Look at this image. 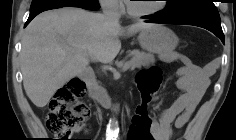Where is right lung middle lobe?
Here are the masks:
<instances>
[{"mask_svg":"<svg viewBox=\"0 0 236 140\" xmlns=\"http://www.w3.org/2000/svg\"><path fill=\"white\" fill-rule=\"evenodd\" d=\"M62 6H77L90 10L100 8L98 0H32L30 12Z\"/></svg>","mask_w":236,"mask_h":140,"instance_id":"dd1d6c3e","label":"right lung middle lobe"}]
</instances>
